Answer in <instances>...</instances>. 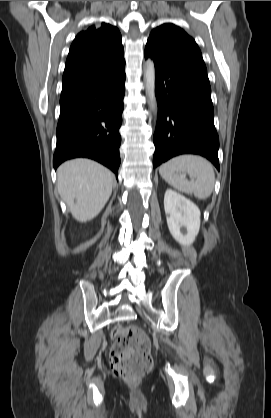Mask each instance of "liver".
<instances>
[{
	"label": "liver",
	"instance_id": "obj_1",
	"mask_svg": "<svg viewBox=\"0 0 271 418\" xmlns=\"http://www.w3.org/2000/svg\"><path fill=\"white\" fill-rule=\"evenodd\" d=\"M114 175L106 167L89 159H74L57 170V187L72 216L79 222L96 217L107 203Z\"/></svg>",
	"mask_w": 271,
	"mask_h": 418
}]
</instances>
